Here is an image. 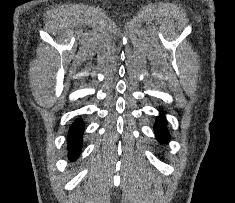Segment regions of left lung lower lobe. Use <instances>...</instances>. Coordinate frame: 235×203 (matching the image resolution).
<instances>
[{"label":"left lung lower lobe","mask_w":235,"mask_h":203,"mask_svg":"<svg viewBox=\"0 0 235 203\" xmlns=\"http://www.w3.org/2000/svg\"><path fill=\"white\" fill-rule=\"evenodd\" d=\"M155 134L157 139L162 143H166L170 139L169 132L165 123V118L163 116L159 117L157 122L155 123Z\"/></svg>","instance_id":"0a47b994"}]
</instances>
